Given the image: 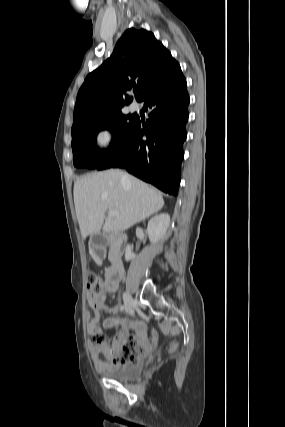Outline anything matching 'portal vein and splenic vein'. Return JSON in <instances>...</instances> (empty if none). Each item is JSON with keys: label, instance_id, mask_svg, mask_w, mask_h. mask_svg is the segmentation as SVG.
Returning <instances> with one entry per match:
<instances>
[{"label": "portal vein and splenic vein", "instance_id": "18ae733b", "mask_svg": "<svg viewBox=\"0 0 285 427\" xmlns=\"http://www.w3.org/2000/svg\"><path fill=\"white\" fill-rule=\"evenodd\" d=\"M118 214V212H117V210H115V209H109V211H108V216L109 217H114V216H116Z\"/></svg>", "mask_w": 285, "mask_h": 427}]
</instances>
